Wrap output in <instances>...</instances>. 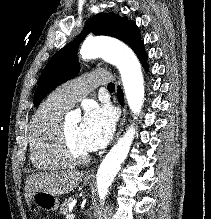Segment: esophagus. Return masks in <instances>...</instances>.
<instances>
[{
	"label": "esophagus",
	"instance_id": "1",
	"mask_svg": "<svg viewBox=\"0 0 211 219\" xmlns=\"http://www.w3.org/2000/svg\"><path fill=\"white\" fill-rule=\"evenodd\" d=\"M118 83L120 84L119 80H118ZM125 120H126V109H125V107H123L122 108V117H121V121H120V125H119V130H118V132L116 134V139L119 137V135L122 132V129H123L124 124H125ZM86 175L88 177H92L94 175V170H91V171L87 172Z\"/></svg>",
	"mask_w": 211,
	"mask_h": 219
}]
</instances>
